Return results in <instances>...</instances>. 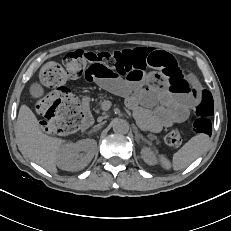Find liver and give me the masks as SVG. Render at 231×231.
<instances>
[{
    "label": "liver",
    "instance_id": "1",
    "mask_svg": "<svg viewBox=\"0 0 231 231\" xmlns=\"http://www.w3.org/2000/svg\"><path fill=\"white\" fill-rule=\"evenodd\" d=\"M16 134L21 150L28 158L46 170L56 173L58 153L65 140L46 135L33 111L21 105Z\"/></svg>",
    "mask_w": 231,
    "mask_h": 231
}]
</instances>
